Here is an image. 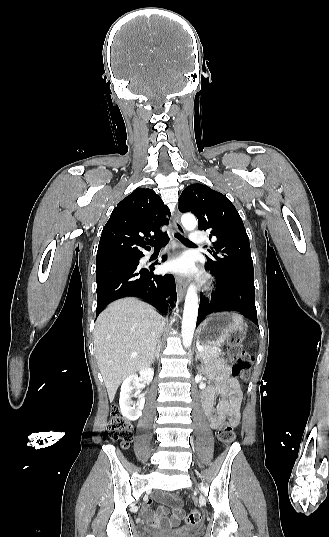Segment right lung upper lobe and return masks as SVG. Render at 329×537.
Masks as SVG:
<instances>
[{"mask_svg": "<svg viewBox=\"0 0 329 537\" xmlns=\"http://www.w3.org/2000/svg\"><path fill=\"white\" fill-rule=\"evenodd\" d=\"M169 208L151 189H137L124 198L113 210L103 228L96 262L129 259L142 255L147 238L162 234L161 226L168 225Z\"/></svg>", "mask_w": 329, "mask_h": 537, "instance_id": "obj_1", "label": "right lung upper lobe"}]
</instances>
